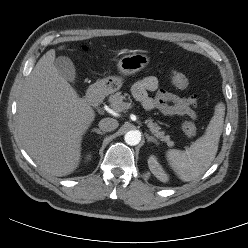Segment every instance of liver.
Here are the masks:
<instances>
[{
    "mask_svg": "<svg viewBox=\"0 0 248 248\" xmlns=\"http://www.w3.org/2000/svg\"><path fill=\"white\" fill-rule=\"evenodd\" d=\"M54 60L55 50L51 49L28 76L18 102L17 130L35 163L45 172L61 177L78 167L82 136L95 113L58 73Z\"/></svg>",
    "mask_w": 248,
    "mask_h": 248,
    "instance_id": "obj_1",
    "label": "liver"
}]
</instances>
